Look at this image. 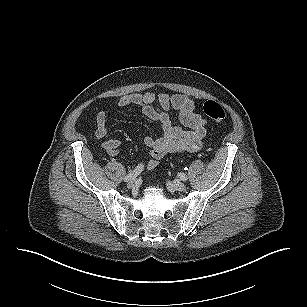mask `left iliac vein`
Masks as SVG:
<instances>
[{
	"instance_id": "4c4485c4",
	"label": "left iliac vein",
	"mask_w": 307,
	"mask_h": 307,
	"mask_svg": "<svg viewBox=\"0 0 307 307\" xmlns=\"http://www.w3.org/2000/svg\"><path fill=\"white\" fill-rule=\"evenodd\" d=\"M167 186L168 188L171 190V191H180V192H183L185 191L186 189V186L184 183L178 181V180H175V181H172V182H168L167 183Z\"/></svg>"
}]
</instances>
